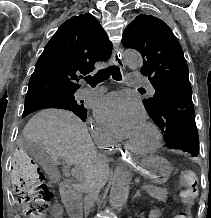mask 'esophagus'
<instances>
[{
    "label": "esophagus",
    "mask_w": 211,
    "mask_h": 218,
    "mask_svg": "<svg viewBox=\"0 0 211 218\" xmlns=\"http://www.w3.org/2000/svg\"><path fill=\"white\" fill-rule=\"evenodd\" d=\"M112 60L115 65L118 67L123 68L124 63L122 61V52L119 46H116L113 51ZM116 149L118 150L119 155L117 156L118 160H124L126 167L128 168L129 172H141L142 171V164L139 163L138 159H134L133 153L131 152L130 148H125L124 145H117Z\"/></svg>",
    "instance_id": "1"
}]
</instances>
